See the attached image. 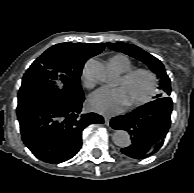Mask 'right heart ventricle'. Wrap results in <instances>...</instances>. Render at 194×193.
I'll return each instance as SVG.
<instances>
[{"label":"right heart ventricle","instance_id":"1","mask_svg":"<svg viewBox=\"0 0 194 193\" xmlns=\"http://www.w3.org/2000/svg\"><path fill=\"white\" fill-rule=\"evenodd\" d=\"M109 63L111 67L120 74L128 72L133 67L130 59L123 54H117L112 56L109 60Z\"/></svg>","mask_w":194,"mask_h":193}]
</instances>
